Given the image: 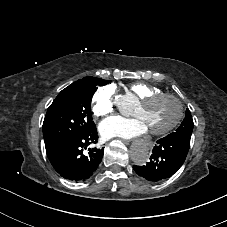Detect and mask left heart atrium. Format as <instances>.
<instances>
[{
  "mask_svg": "<svg viewBox=\"0 0 227 227\" xmlns=\"http://www.w3.org/2000/svg\"><path fill=\"white\" fill-rule=\"evenodd\" d=\"M146 125L139 119H125L114 117L100 123V135L105 138L121 137L130 139L141 136L147 132Z\"/></svg>",
  "mask_w": 227,
  "mask_h": 227,
  "instance_id": "1",
  "label": "left heart atrium"
}]
</instances>
